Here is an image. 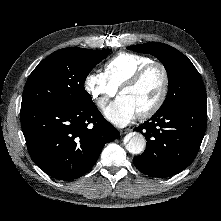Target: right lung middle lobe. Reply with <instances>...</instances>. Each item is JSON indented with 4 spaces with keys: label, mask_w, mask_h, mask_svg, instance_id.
<instances>
[{
    "label": "right lung middle lobe",
    "mask_w": 221,
    "mask_h": 221,
    "mask_svg": "<svg viewBox=\"0 0 221 221\" xmlns=\"http://www.w3.org/2000/svg\"><path fill=\"white\" fill-rule=\"evenodd\" d=\"M110 52L111 49L77 47L55 51L28 77L21 105L81 106L92 103L84 81Z\"/></svg>",
    "instance_id": "obj_1"
}]
</instances>
